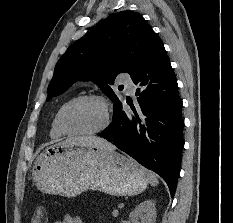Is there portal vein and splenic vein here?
<instances>
[{
  "instance_id": "18ae733b",
  "label": "portal vein and splenic vein",
  "mask_w": 233,
  "mask_h": 223,
  "mask_svg": "<svg viewBox=\"0 0 233 223\" xmlns=\"http://www.w3.org/2000/svg\"><path fill=\"white\" fill-rule=\"evenodd\" d=\"M112 213H113L114 217H117V215H118V209H113Z\"/></svg>"
}]
</instances>
